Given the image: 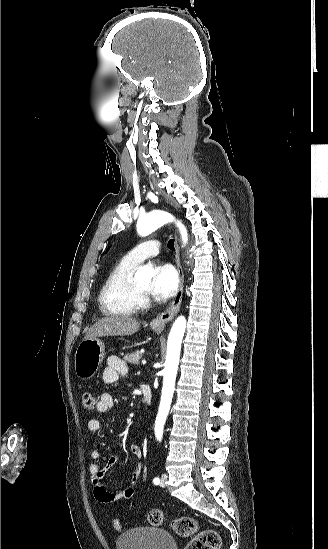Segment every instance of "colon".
<instances>
[{
  "label": "colon",
  "mask_w": 328,
  "mask_h": 549,
  "mask_svg": "<svg viewBox=\"0 0 328 549\" xmlns=\"http://www.w3.org/2000/svg\"><path fill=\"white\" fill-rule=\"evenodd\" d=\"M83 408L90 412L95 407V397L86 392L82 396ZM148 522L153 526L162 525L165 521L163 511L153 509L148 513ZM112 526L116 531L122 530L120 520L113 519ZM171 528L175 534L183 538H190L184 549H219L221 539L217 531L213 529H200L196 519L189 516H180L172 520Z\"/></svg>",
  "instance_id": "1"
}]
</instances>
